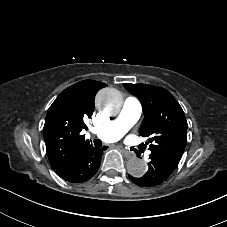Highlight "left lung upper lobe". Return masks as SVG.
<instances>
[{
    "label": "left lung upper lobe",
    "mask_w": 227,
    "mask_h": 227,
    "mask_svg": "<svg viewBox=\"0 0 227 227\" xmlns=\"http://www.w3.org/2000/svg\"><path fill=\"white\" fill-rule=\"evenodd\" d=\"M141 102L144 119L139 133L148 137L151 154L178 164L187 143L188 124L184 112L164 88L147 84H123Z\"/></svg>",
    "instance_id": "1"
}]
</instances>
